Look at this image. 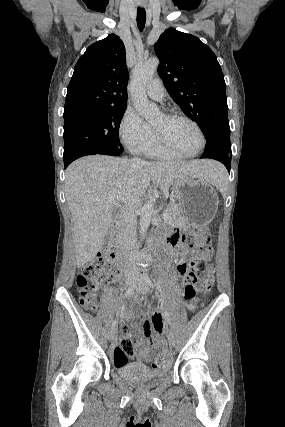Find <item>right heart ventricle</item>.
Masks as SVG:
<instances>
[{"instance_id": "right-heart-ventricle-1", "label": "right heart ventricle", "mask_w": 285, "mask_h": 427, "mask_svg": "<svg viewBox=\"0 0 285 427\" xmlns=\"http://www.w3.org/2000/svg\"><path fill=\"white\" fill-rule=\"evenodd\" d=\"M154 133V131H153ZM142 154L147 157L159 159V160H179L183 157L168 151L165 149L157 140L156 134L154 133L153 140L151 143L144 149Z\"/></svg>"}]
</instances>
